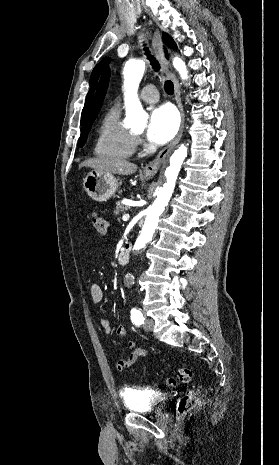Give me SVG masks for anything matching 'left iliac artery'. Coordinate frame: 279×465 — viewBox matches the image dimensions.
Masks as SVG:
<instances>
[{"label": "left iliac artery", "mask_w": 279, "mask_h": 465, "mask_svg": "<svg viewBox=\"0 0 279 465\" xmlns=\"http://www.w3.org/2000/svg\"><path fill=\"white\" fill-rule=\"evenodd\" d=\"M131 320L136 324V325H141L144 322V316L141 313L140 310L133 308L131 310Z\"/></svg>", "instance_id": "obj_1"}]
</instances>
